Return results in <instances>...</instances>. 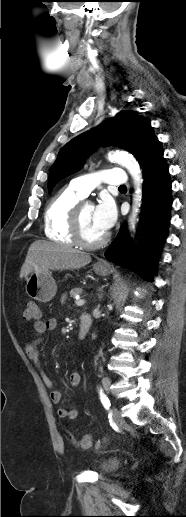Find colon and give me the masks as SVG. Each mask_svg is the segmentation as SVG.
<instances>
[{
  "instance_id": "obj_1",
  "label": "colon",
  "mask_w": 186,
  "mask_h": 517,
  "mask_svg": "<svg viewBox=\"0 0 186 517\" xmlns=\"http://www.w3.org/2000/svg\"><path fill=\"white\" fill-rule=\"evenodd\" d=\"M24 318L26 320H37L40 318V310L39 306L35 301H27L26 308L24 312ZM68 439L75 445L76 447L80 449H86L88 448L93 441V438L91 435H85L81 439L77 440L74 438L71 434H68Z\"/></svg>"
}]
</instances>
